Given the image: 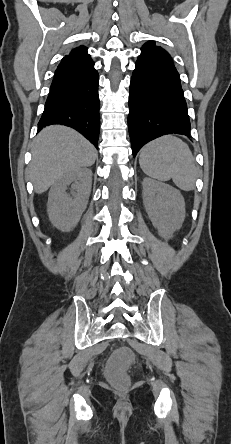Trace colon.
<instances>
[{"mask_svg":"<svg viewBox=\"0 0 231 444\" xmlns=\"http://www.w3.org/2000/svg\"><path fill=\"white\" fill-rule=\"evenodd\" d=\"M132 360L133 353L128 347H122L114 351L106 367L108 379L117 386H126L128 384L127 369Z\"/></svg>","mask_w":231,"mask_h":444,"instance_id":"obj_1","label":"colon"}]
</instances>
